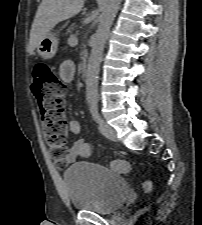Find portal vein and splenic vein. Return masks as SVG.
<instances>
[{
  "label": "portal vein and splenic vein",
  "mask_w": 202,
  "mask_h": 225,
  "mask_svg": "<svg viewBox=\"0 0 202 225\" xmlns=\"http://www.w3.org/2000/svg\"><path fill=\"white\" fill-rule=\"evenodd\" d=\"M70 45L75 46L78 43V38L76 35H71L68 39Z\"/></svg>",
  "instance_id": "18ae733b"
}]
</instances>
